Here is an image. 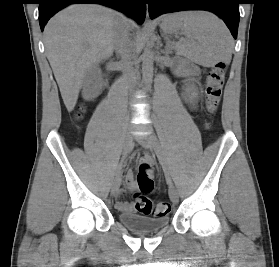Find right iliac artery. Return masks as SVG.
Segmentation results:
<instances>
[{"label": "right iliac artery", "mask_w": 279, "mask_h": 267, "mask_svg": "<svg viewBox=\"0 0 279 267\" xmlns=\"http://www.w3.org/2000/svg\"><path fill=\"white\" fill-rule=\"evenodd\" d=\"M128 152H125L118 164V167H117V174H120L121 171H122V168L125 166L126 162H127V156H128Z\"/></svg>", "instance_id": "82829eb1"}]
</instances>
